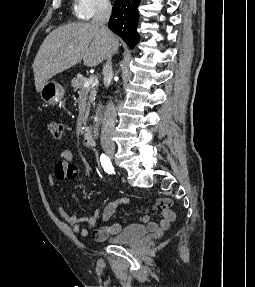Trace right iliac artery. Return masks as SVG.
Listing matches in <instances>:
<instances>
[{
	"instance_id": "1",
	"label": "right iliac artery",
	"mask_w": 255,
	"mask_h": 287,
	"mask_svg": "<svg viewBox=\"0 0 255 287\" xmlns=\"http://www.w3.org/2000/svg\"><path fill=\"white\" fill-rule=\"evenodd\" d=\"M100 161H101V165H102L103 169L105 170V172H107L109 174L114 173V167H113L111 160L109 159L108 156H106L105 154H102L100 157Z\"/></svg>"
}]
</instances>
